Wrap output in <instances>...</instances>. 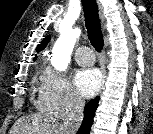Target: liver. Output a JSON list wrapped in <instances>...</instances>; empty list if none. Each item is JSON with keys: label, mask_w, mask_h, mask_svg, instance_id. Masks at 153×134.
<instances>
[{"label": "liver", "mask_w": 153, "mask_h": 134, "mask_svg": "<svg viewBox=\"0 0 153 134\" xmlns=\"http://www.w3.org/2000/svg\"><path fill=\"white\" fill-rule=\"evenodd\" d=\"M30 120L24 124L19 120L13 127V132L15 134H64L62 124L52 117L36 115Z\"/></svg>", "instance_id": "obj_1"}]
</instances>
